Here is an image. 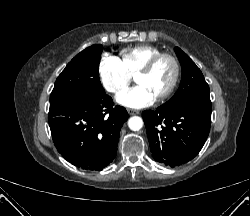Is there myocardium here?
<instances>
[{
	"label": "myocardium",
	"mask_w": 250,
	"mask_h": 216,
	"mask_svg": "<svg viewBox=\"0 0 250 216\" xmlns=\"http://www.w3.org/2000/svg\"><path fill=\"white\" fill-rule=\"evenodd\" d=\"M163 59H167L169 60L172 65H173V76L172 79L168 85V87L159 95H157L155 97L156 101H161L164 100L165 98H167L175 89L179 76H180V64L178 59L169 53H160L158 55H156L155 57H153L141 70H139V72L135 75L136 79L139 76L142 75H146L149 74L154 67L158 64L159 61L163 60Z\"/></svg>",
	"instance_id": "obj_1"
}]
</instances>
